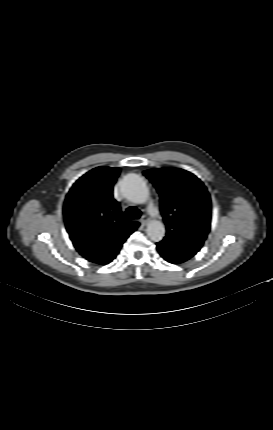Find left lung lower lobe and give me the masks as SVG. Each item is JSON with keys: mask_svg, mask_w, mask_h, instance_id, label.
<instances>
[{"mask_svg": "<svg viewBox=\"0 0 273 430\" xmlns=\"http://www.w3.org/2000/svg\"><path fill=\"white\" fill-rule=\"evenodd\" d=\"M157 250L160 255L168 262L173 264L182 263L187 259V255L181 252L169 253L163 248V244L161 242L157 243Z\"/></svg>", "mask_w": 273, "mask_h": 430, "instance_id": "0a47b994", "label": "left lung lower lobe"}]
</instances>
